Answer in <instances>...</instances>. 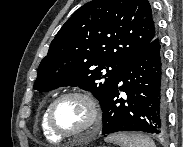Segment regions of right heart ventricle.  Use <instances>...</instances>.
I'll return each instance as SVG.
<instances>
[{
    "label": "right heart ventricle",
    "instance_id": "right-heart-ventricle-1",
    "mask_svg": "<svg viewBox=\"0 0 183 147\" xmlns=\"http://www.w3.org/2000/svg\"><path fill=\"white\" fill-rule=\"evenodd\" d=\"M49 106H47L43 113H42V117H41V128L43 131L44 136L50 140V141H60L62 138L56 136L54 133L51 132V130L48 128L47 122H46V114H47V109Z\"/></svg>",
    "mask_w": 183,
    "mask_h": 147
}]
</instances>
